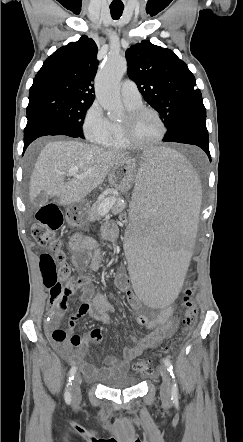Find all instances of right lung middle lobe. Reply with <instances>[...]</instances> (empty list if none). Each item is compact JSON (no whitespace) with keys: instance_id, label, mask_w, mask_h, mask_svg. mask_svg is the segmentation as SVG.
Here are the masks:
<instances>
[{"instance_id":"right-lung-middle-lobe-1","label":"right lung middle lobe","mask_w":243,"mask_h":442,"mask_svg":"<svg viewBox=\"0 0 243 442\" xmlns=\"http://www.w3.org/2000/svg\"><path fill=\"white\" fill-rule=\"evenodd\" d=\"M91 105V102L82 101L69 95L47 93L29 97L26 113L27 117L34 113L52 116L84 138L82 125L85 113Z\"/></svg>"}]
</instances>
